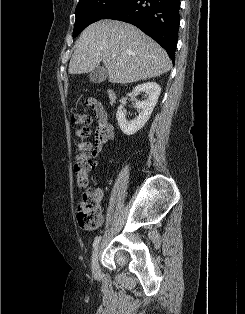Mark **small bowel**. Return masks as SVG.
Returning <instances> with one entry per match:
<instances>
[{
	"instance_id": "small-bowel-1",
	"label": "small bowel",
	"mask_w": 245,
	"mask_h": 314,
	"mask_svg": "<svg viewBox=\"0 0 245 314\" xmlns=\"http://www.w3.org/2000/svg\"><path fill=\"white\" fill-rule=\"evenodd\" d=\"M91 109L97 120V128L94 134V147L92 154L96 157L103 147L113 140L114 138V127L109 121V116L104 109L101 102L96 99L91 98Z\"/></svg>"
}]
</instances>
